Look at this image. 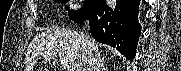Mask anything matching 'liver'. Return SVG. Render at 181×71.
Listing matches in <instances>:
<instances>
[{
	"label": "liver",
	"instance_id": "obj_1",
	"mask_svg": "<svg viewBox=\"0 0 181 71\" xmlns=\"http://www.w3.org/2000/svg\"><path fill=\"white\" fill-rule=\"evenodd\" d=\"M42 57L52 60L53 64L57 58H64L72 71H84L86 67L87 55L81 35L70 29L50 30L36 35L27 50L25 71H33ZM43 71H48V68Z\"/></svg>",
	"mask_w": 181,
	"mask_h": 71
}]
</instances>
